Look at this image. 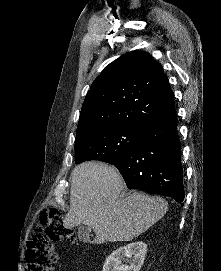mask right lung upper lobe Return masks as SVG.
<instances>
[{
	"instance_id": "obj_1",
	"label": "right lung upper lobe",
	"mask_w": 221,
	"mask_h": 271,
	"mask_svg": "<svg viewBox=\"0 0 221 271\" xmlns=\"http://www.w3.org/2000/svg\"><path fill=\"white\" fill-rule=\"evenodd\" d=\"M175 112L174 95L161 64L147 52L132 51L110 63L92 83L76 138L116 125L145 129Z\"/></svg>"
}]
</instances>
